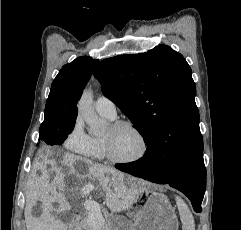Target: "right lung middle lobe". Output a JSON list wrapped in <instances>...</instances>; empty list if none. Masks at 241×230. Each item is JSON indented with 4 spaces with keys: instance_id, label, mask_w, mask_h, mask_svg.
<instances>
[{
    "instance_id": "obj_1",
    "label": "right lung middle lobe",
    "mask_w": 241,
    "mask_h": 230,
    "mask_svg": "<svg viewBox=\"0 0 241 230\" xmlns=\"http://www.w3.org/2000/svg\"><path fill=\"white\" fill-rule=\"evenodd\" d=\"M76 119L54 121L45 120L40 126L39 140L48 145H60L67 138L75 126Z\"/></svg>"
}]
</instances>
